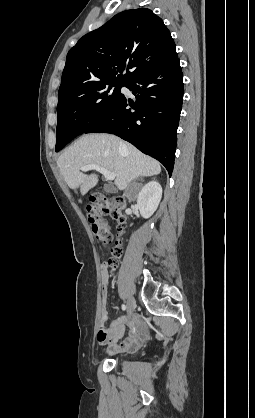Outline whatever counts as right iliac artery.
Masks as SVG:
<instances>
[{"label":"right iliac artery","mask_w":255,"mask_h":418,"mask_svg":"<svg viewBox=\"0 0 255 418\" xmlns=\"http://www.w3.org/2000/svg\"><path fill=\"white\" fill-rule=\"evenodd\" d=\"M122 309L125 310L126 309V305L122 304Z\"/></svg>","instance_id":"82829eb1"}]
</instances>
